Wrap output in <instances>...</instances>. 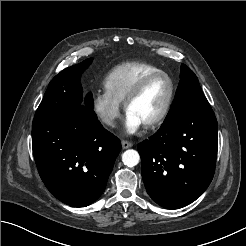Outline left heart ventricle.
Returning <instances> with one entry per match:
<instances>
[{"mask_svg": "<svg viewBox=\"0 0 246 246\" xmlns=\"http://www.w3.org/2000/svg\"><path fill=\"white\" fill-rule=\"evenodd\" d=\"M169 91L170 85L165 77L155 78L130 105L128 112L137 117L143 125L150 122L162 111Z\"/></svg>", "mask_w": 246, "mask_h": 246, "instance_id": "left-heart-ventricle-1", "label": "left heart ventricle"}]
</instances>
